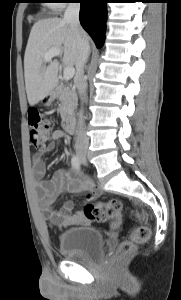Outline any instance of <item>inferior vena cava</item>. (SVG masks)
Returning <instances> with one entry per match:
<instances>
[{"mask_svg":"<svg viewBox=\"0 0 181 300\" xmlns=\"http://www.w3.org/2000/svg\"><path fill=\"white\" fill-rule=\"evenodd\" d=\"M79 11L80 3L71 2L65 10L63 20L69 23L73 29L76 31L79 30ZM77 47H78V57L76 60V87L81 99L84 101L86 98L87 82L84 78V66L87 62L90 53V46L88 40L82 38L79 33L76 34ZM89 140L85 134L84 129L82 128L76 136L75 149L81 151L88 146Z\"/></svg>","mask_w":181,"mask_h":300,"instance_id":"obj_1","label":"inferior vena cava"}]
</instances>
